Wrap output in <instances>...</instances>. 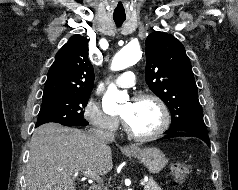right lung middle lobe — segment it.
<instances>
[{
    "label": "right lung middle lobe",
    "mask_w": 238,
    "mask_h": 190,
    "mask_svg": "<svg viewBox=\"0 0 238 190\" xmlns=\"http://www.w3.org/2000/svg\"><path fill=\"white\" fill-rule=\"evenodd\" d=\"M89 94L55 95L42 98V105L35 127L56 122L65 126H86L82 118Z\"/></svg>",
    "instance_id": "1"
}]
</instances>
